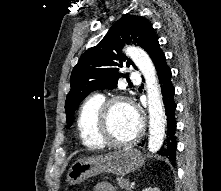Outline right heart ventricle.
Here are the masks:
<instances>
[{
	"label": "right heart ventricle",
	"mask_w": 221,
	"mask_h": 191,
	"mask_svg": "<svg viewBox=\"0 0 221 191\" xmlns=\"http://www.w3.org/2000/svg\"><path fill=\"white\" fill-rule=\"evenodd\" d=\"M104 98L93 95L87 98L80 107L77 117V130L82 144L89 149L105 147L98 135V114Z\"/></svg>",
	"instance_id": "right-heart-ventricle-1"
}]
</instances>
